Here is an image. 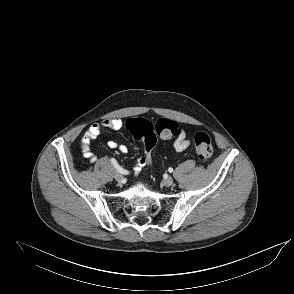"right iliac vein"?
<instances>
[{
    "mask_svg": "<svg viewBox=\"0 0 294 294\" xmlns=\"http://www.w3.org/2000/svg\"><path fill=\"white\" fill-rule=\"evenodd\" d=\"M114 178H115V180H116L117 182H119V183H121V182L123 181V175L120 174V173H118V172H116V173L114 174Z\"/></svg>",
    "mask_w": 294,
    "mask_h": 294,
    "instance_id": "1",
    "label": "right iliac vein"
}]
</instances>
